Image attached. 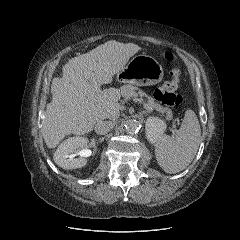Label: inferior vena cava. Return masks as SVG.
Listing matches in <instances>:
<instances>
[{"label": "inferior vena cava", "instance_id": "1", "mask_svg": "<svg viewBox=\"0 0 240 240\" xmlns=\"http://www.w3.org/2000/svg\"><path fill=\"white\" fill-rule=\"evenodd\" d=\"M114 127L112 121H99L94 126V130L98 135H103L108 133Z\"/></svg>", "mask_w": 240, "mask_h": 240}]
</instances>
